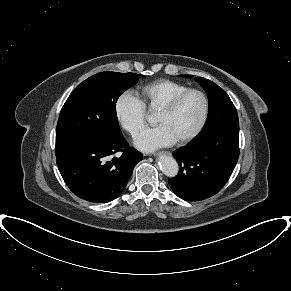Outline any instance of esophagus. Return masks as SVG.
Listing matches in <instances>:
<instances>
[{
  "label": "esophagus",
  "mask_w": 291,
  "mask_h": 291,
  "mask_svg": "<svg viewBox=\"0 0 291 291\" xmlns=\"http://www.w3.org/2000/svg\"><path fill=\"white\" fill-rule=\"evenodd\" d=\"M159 155H171V152L169 151H162L159 153Z\"/></svg>",
  "instance_id": "esophagus-1"
}]
</instances>
